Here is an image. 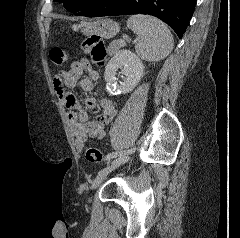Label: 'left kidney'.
<instances>
[{"label":"left kidney","mask_w":240,"mask_h":238,"mask_svg":"<svg viewBox=\"0 0 240 238\" xmlns=\"http://www.w3.org/2000/svg\"><path fill=\"white\" fill-rule=\"evenodd\" d=\"M118 68L124 75L120 84H117L115 77ZM143 71L144 65L138 56L127 49L118 51L105 68L104 79L107 82V91L113 95L131 92L139 83Z\"/></svg>","instance_id":"obj_1"}]
</instances>
